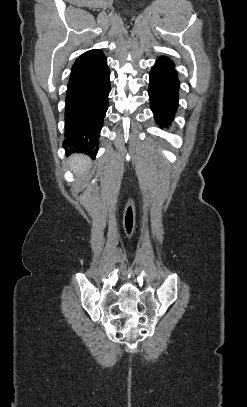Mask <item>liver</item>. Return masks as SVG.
Wrapping results in <instances>:
<instances>
[{"label": "liver", "instance_id": "6515ba94", "mask_svg": "<svg viewBox=\"0 0 247 407\" xmlns=\"http://www.w3.org/2000/svg\"><path fill=\"white\" fill-rule=\"evenodd\" d=\"M71 169L78 175L83 176L90 167V160L85 155L75 154L69 159Z\"/></svg>", "mask_w": 247, "mask_h": 407}]
</instances>
